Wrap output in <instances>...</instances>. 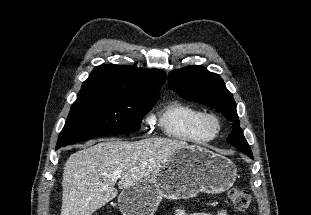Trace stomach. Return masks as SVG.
Listing matches in <instances>:
<instances>
[{"label": "stomach", "mask_w": 311, "mask_h": 215, "mask_svg": "<svg viewBox=\"0 0 311 215\" xmlns=\"http://www.w3.org/2000/svg\"><path fill=\"white\" fill-rule=\"evenodd\" d=\"M236 175L230 159L204 147L188 146L175 152L150 177L124 189L118 206L122 215H154L162 198L219 194L234 184Z\"/></svg>", "instance_id": "0dacf381"}]
</instances>
